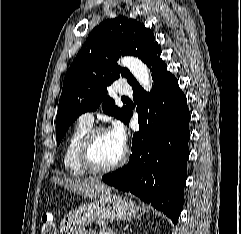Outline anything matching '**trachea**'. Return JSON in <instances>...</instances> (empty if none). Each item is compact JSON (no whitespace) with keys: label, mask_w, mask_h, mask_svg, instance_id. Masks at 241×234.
Returning <instances> with one entry per match:
<instances>
[{"label":"trachea","mask_w":241,"mask_h":234,"mask_svg":"<svg viewBox=\"0 0 241 234\" xmlns=\"http://www.w3.org/2000/svg\"><path fill=\"white\" fill-rule=\"evenodd\" d=\"M123 100H126L127 98L126 97H122Z\"/></svg>","instance_id":"trachea-1"}]
</instances>
